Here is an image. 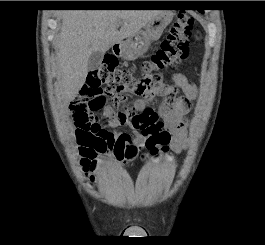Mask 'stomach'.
<instances>
[{
  "instance_id": "0dacf381",
  "label": "stomach",
  "mask_w": 265,
  "mask_h": 245,
  "mask_svg": "<svg viewBox=\"0 0 265 245\" xmlns=\"http://www.w3.org/2000/svg\"><path fill=\"white\" fill-rule=\"evenodd\" d=\"M174 14L170 11H161L133 36L119 43V55L124 60H135L145 54L153 41L158 40L164 29L170 24Z\"/></svg>"
}]
</instances>
